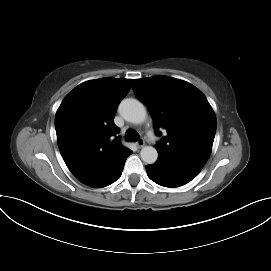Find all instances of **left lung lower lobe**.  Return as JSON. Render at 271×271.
<instances>
[{"instance_id":"1","label":"left lung lower lobe","mask_w":271,"mask_h":271,"mask_svg":"<svg viewBox=\"0 0 271 271\" xmlns=\"http://www.w3.org/2000/svg\"><path fill=\"white\" fill-rule=\"evenodd\" d=\"M199 163L158 152L155 164L147 165L148 177L164 187H179L190 182L203 168Z\"/></svg>"}]
</instances>
